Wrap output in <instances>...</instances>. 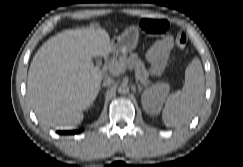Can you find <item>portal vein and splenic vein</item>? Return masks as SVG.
Instances as JSON below:
<instances>
[{
    "mask_svg": "<svg viewBox=\"0 0 243 167\" xmlns=\"http://www.w3.org/2000/svg\"><path fill=\"white\" fill-rule=\"evenodd\" d=\"M125 70H126V67H124V66H115L110 69V73L113 75H119V74L125 72ZM136 78H137V80L141 81L140 77H136Z\"/></svg>",
    "mask_w": 243,
    "mask_h": 167,
    "instance_id": "18ae733b",
    "label": "portal vein and splenic vein"
}]
</instances>
